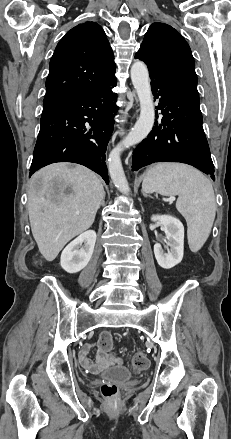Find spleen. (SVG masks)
I'll list each match as a JSON object with an SVG mask.
<instances>
[{
    "label": "spleen",
    "mask_w": 231,
    "mask_h": 439,
    "mask_svg": "<svg viewBox=\"0 0 231 439\" xmlns=\"http://www.w3.org/2000/svg\"><path fill=\"white\" fill-rule=\"evenodd\" d=\"M142 190L165 196L178 195L176 208L187 222L191 251L206 242L215 219L216 205L211 182L195 168L179 163H159L146 173Z\"/></svg>",
    "instance_id": "1"
}]
</instances>
